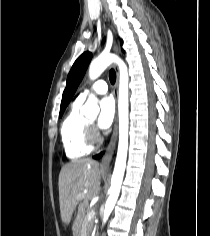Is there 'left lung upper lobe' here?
I'll return each instance as SVG.
<instances>
[{"instance_id": "obj_1", "label": "left lung upper lobe", "mask_w": 210, "mask_h": 236, "mask_svg": "<svg viewBox=\"0 0 210 236\" xmlns=\"http://www.w3.org/2000/svg\"><path fill=\"white\" fill-rule=\"evenodd\" d=\"M91 58L92 54L90 52H84L73 64L67 77L66 88L63 92L59 117L63 115L65 108L73 97L78 85L80 84L85 74Z\"/></svg>"}]
</instances>
